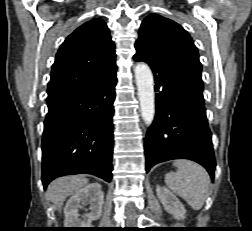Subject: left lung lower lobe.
<instances>
[{
	"instance_id": "0a47b994",
	"label": "left lung lower lobe",
	"mask_w": 252,
	"mask_h": 231,
	"mask_svg": "<svg viewBox=\"0 0 252 231\" xmlns=\"http://www.w3.org/2000/svg\"><path fill=\"white\" fill-rule=\"evenodd\" d=\"M151 67L156 93V114L147 131L146 171L157 163L189 159L214 178L215 156L203 98L201 70L180 61L145 59Z\"/></svg>"
}]
</instances>
